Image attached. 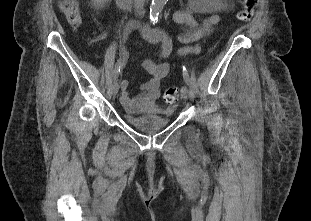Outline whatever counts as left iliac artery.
<instances>
[{
  "label": "left iliac artery",
  "instance_id": "44dca946",
  "mask_svg": "<svg viewBox=\"0 0 311 221\" xmlns=\"http://www.w3.org/2000/svg\"><path fill=\"white\" fill-rule=\"evenodd\" d=\"M182 72H183V77H184L185 82L189 84V74H188L187 69L184 66H183Z\"/></svg>",
  "mask_w": 311,
  "mask_h": 221
}]
</instances>
